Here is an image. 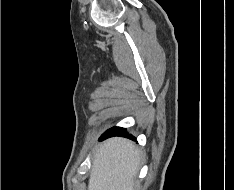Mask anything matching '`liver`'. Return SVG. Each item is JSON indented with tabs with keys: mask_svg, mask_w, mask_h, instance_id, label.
I'll list each match as a JSON object with an SVG mask.
<instances>
[{
	"mask_svg": "<svg viewBox=\"0 0 234 190\" xmlns=\"http://www.w3.org/2000/svg\"><path fill=\"white\" fill-rule=\"evenodd\" d=\"M140 153L128 139L114 137L97 149L88 190H134Z\"/></svg>",
	"mask_w": 234,
	"mask_h": 190,
	"instance_id": "obj_1",
	"label": "liver"
}]
</instances>
